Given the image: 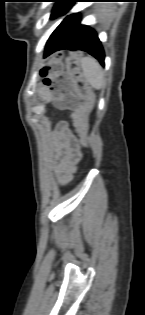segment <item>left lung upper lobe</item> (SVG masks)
<instances>
[{"instance_id": "1", "label": "left lung upper lobe", "mask_w": 145, "mask_h": 315, "mask_svg": "<svg viewBox=\"0 0 145 315\" xmlns=\"http://www.w3.org/2000/svg\"><path fill=\"white\" fill-rule=\"evenodd\" d=\"M56 2L51 14V18H56L59 16L73 0H53Z\"/></svg>"}]
</instances>
